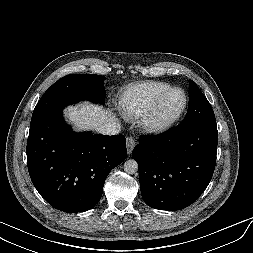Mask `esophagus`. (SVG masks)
<instances>
[{
	"label": "esophagus",
	"instance_id": "obj_1",
	"mask_svg": "<svg viewBox=\"0 0 253 253\" xmlns=\"http://www.w3.org/2000/svg\"><path fill=\"white\" fill-rule=\"evenodd\" d=\"M136 145V140L133 137L127 138V153L130 155Z\"/></svg>",
	"mask_w": 253,
	"mask_h": 253
}]
</instances>
